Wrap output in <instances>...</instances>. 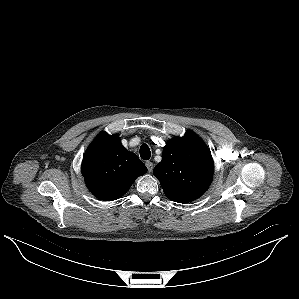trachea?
<instances>
[{"label": "trachea", "instance_id": "1", "mask_svg": "<svg viewBox=\"0 0 299 299\" xmlns=\"http://www.w3.org/2000/svg\"><path fill=\"white\" fill-rule=\"evenodd\" d=\"M140 157L144 160H148L151 157V152L147 144H142L140 147Z\"/></svg>", "mask_w": 299, "mask_h": 299}]
</instances>
